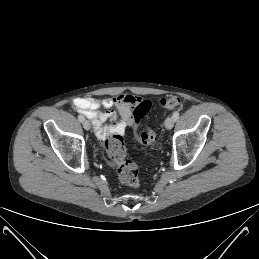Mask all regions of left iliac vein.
Listing matches in <instances>:
<instances>
[{"mask_svg": "<svg viewBox=\"0 0 259 259\" xmlns=\"http://www.w3.org/2000/svg\"><path fill=\"white\" fill-rule=\"evenodd\" d=\"M164 124H165L166 129H168V130L172 129V127L174 125L173 117H167Z\"/></svg>", "mask_w": 259, "mask_h": 259, "instance_id": "4c4485c4", "label": "left iliac vein"}]
</instances>
